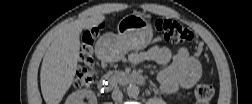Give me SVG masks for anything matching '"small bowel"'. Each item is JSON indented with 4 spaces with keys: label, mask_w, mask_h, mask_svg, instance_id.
I'll list each match as a JSON object with an SVG mask.
<instances>
[{
    "label": "small bowel",
    "mask_w": 252,
    "mask_h": 104,
    "mask_svg": "<svg viewBox=\"0 0 252 104\" xmlns=\"http://www.w3.org/2000/svg\"><path fill=\"white\" fill-rule=\"evenodd\" d=\"M129 61L138 64L151 61L166 66L158 74L160 90L164 94H173L191 88L201 77L198 60L184 46L169 48L155 45L144 52L129 55Z\"/></svg>",
    "instance_id": "obj_1"
}]
</instances>
